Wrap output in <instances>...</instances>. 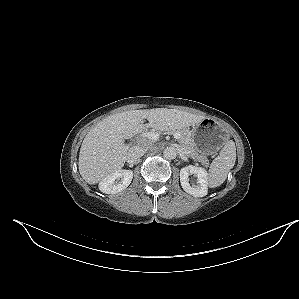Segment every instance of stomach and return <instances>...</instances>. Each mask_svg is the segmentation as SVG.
<instances>
[{"label": "stomach", "mask_w": 299, "mask_h": 299, "mask_svg": "<svg viewBox=\"0 0 299 299\" xmlns=\"http://www.w3.org/2000/svg\"><path fill=\"white\" fill-rule=\"evenodd\" d=\"M190 139L196 151L209 155L217 151L226 140L222 127L210 119L192 126Z\"/></svg>", "instance_id": "1"}]
</instances>
